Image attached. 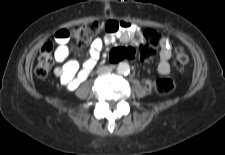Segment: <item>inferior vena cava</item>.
I'll use <instances>...</instances> for the list:
<instances>
[{
  "instance_id": "1",
  "label": "inferior vena cava",
  "mask_w": 225,
  "mask_h": 155,
  "mask_svg": "<svg viewBox=\"0 0 225 155\" xmlns=\"http://www.w3.org/2000/svg\"><path fill=\"white\" fill-rule=\"evenodd\" d=\"M111 71H112V68L110 66H103L98 69V73L100 74H107V73H110Z\"/></svg>"
}]
</instances>
